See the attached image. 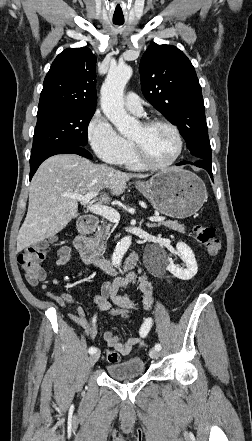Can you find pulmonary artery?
Returning a JSON list of instances; mask_svg holds the SVG:
<instances>
[{
    "label": "pulmonary artery",
    "instance_id": "obj_1",
    "mask_svg": "<svg viewBox=\"0 0 252 441\" xmlns=\"http://www.w3.org/2000/svg\"><path fill=\"white\" fill-rule=\"evenodd\" d=\"M124 105L126 109L136 115L143 114V106L141 99L134 92H130L127 94L124 100Z\"/></svg>",
    "mask_w": 252,
    "mask_h": 441
}]
</instances>
